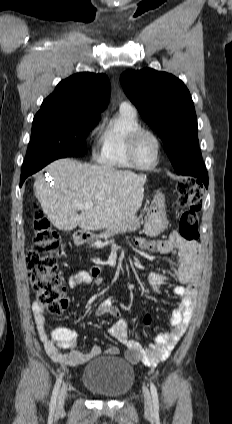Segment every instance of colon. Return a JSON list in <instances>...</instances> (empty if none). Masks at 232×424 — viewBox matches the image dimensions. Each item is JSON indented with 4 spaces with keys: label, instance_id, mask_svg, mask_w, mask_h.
<instances>
[{
    "label": "colon",
    "instance_id": "colon-1",
    "mask_svg": "<svg viewBox=\"0 0 232 424\" xmlns=\"http://www.w3.org/2000/svg\"><path fill=\"white\" fill-rule=\"evenodd\" d=\"M204 189L196 181L186 179L177 187L176 209H185L179 217L177 232L185 244L194 243L199 236V212L203 206ZM35 236L26 253L25 263L27 275L38 308L51 314L63 311L61 277L58 273L56 257L59 254L60 238L51 227L44 214L36 209L33 218ZM151 316L146 315L143 324L151 323Z\"/></svg>",
    "mask_w": 232,
    "mask_h": 424
}]
</instances>
